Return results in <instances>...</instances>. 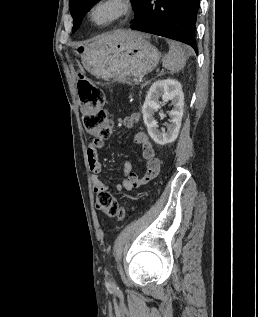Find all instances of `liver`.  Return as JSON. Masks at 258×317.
<instances>
[{"mask_svg": "<svg viewBox=\"0 0 258 317\" xmlns=\"http://www.w3.org/2000/svg\"><path fill=\"white\" fill-rule=\"evenodd\" d=\"M129 38V30H113L112 34H101L94 42H90L89 46H96L101 42H111V40H126Z\"/></svg>", "mask_w": 258, "mask_h": 317, "instance_id": "6515ba94", "label": "liver"}]
</instances>
